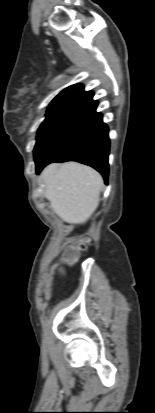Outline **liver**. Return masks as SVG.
I'll return each mask as SVG.
<instances>
[{
    "mask_svg": "<svg viewBox=\"0 0 155 413\" xmlns=\"http://www.w3.org/2000/svg\"><path fill=\"white\" fill-rule=\"evenodd\" d=\"M41 178L50 207L64 222L82 224L97 209L103 179L93 168L77 162L52 163Z\"/></svg>",
    "mask_w": 155,
    "mask_h": 413,
    "instance_id": "liver-1",
    "label": "liver"
}]
</instances>
